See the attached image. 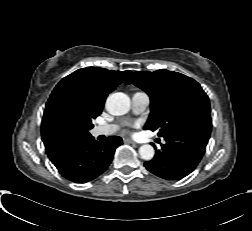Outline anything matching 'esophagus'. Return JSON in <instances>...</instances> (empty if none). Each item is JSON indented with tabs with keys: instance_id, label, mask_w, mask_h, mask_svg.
<instances>
[{
	"instance_id": "34e87169",
	"label": "esophagus",
	"mask_w": 252,
	"mask_h": 231,
	"mask_svg": "<svg viewBox=\"0 0 252 231\" xmlns=\"http://www.w3.org/2000/svg\"><path fill=\"white\" fill-rule=\"evenodd\" d=\"M124 142L127 143V144H132V145H137L133 140L131 139H124Z\"/></svg>"
}]
</instances>
